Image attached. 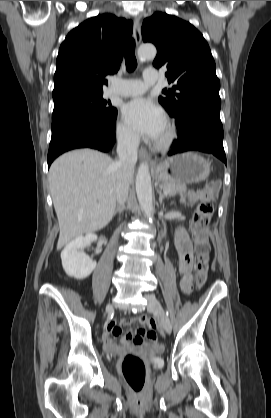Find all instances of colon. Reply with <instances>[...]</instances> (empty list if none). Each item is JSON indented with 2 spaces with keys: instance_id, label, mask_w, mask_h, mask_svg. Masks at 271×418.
I'll return each mask as SVG.
<instances>
[{
  "instance_id": "1",
  "label": "colon",
  "mask_w": 271,
  "mask_h": 418,
  "mask_svg": "<svg viewBox=\"0 0 271 418\" xmlns=\"http://www.w3.org/2000/svg\"><path fill=\"white\" fill-rule=\"evenodd\" d=\"M219 188V182L212 181L207 183L202 190L189 191L183 196L184 203L188 205L197 203L191 228L197 251L196 284L198 287H202L206 282L209 270L210 247L206 229L214 212L212 201L216 199ZM140 321L150 328L147 337L153 340L156 339L154 320L142 316ZM121 369L129 387L135 393H140L146 381L147 369L145 362L136 355L128 354L123 359Z\"/></svg>"
}]
</instances>
